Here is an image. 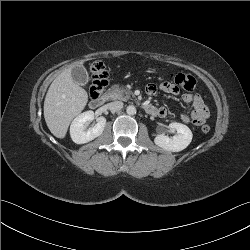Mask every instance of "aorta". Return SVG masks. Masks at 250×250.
<instances>
[{"mask_svg": "<svg viewBox=\"0 0 250 250\" xmlns=\"http://www.w3.org/2000/svg\"><path fill=\"white\" fill-rule=\"evenodd\" d=\"M126 112H127L128 115H134V114H136V108H135V106L129 105L126 108Z\"/></svg>", "mask_w": 250, "mask_h": 250, "instance_id": "obj_1", "label": "aorta"}]
</instances>
